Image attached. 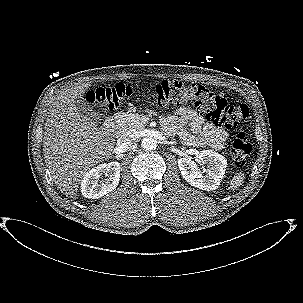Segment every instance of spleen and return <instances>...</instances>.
Masks as SVG:
<instances>
[{
	"instance_id": "3e777b00",
	"label": "spleen",
	"mask_w": 303,
	"mask_h": 303,
	"mask_svg": "<svg viewBox=\"0 0 303 303\" xmlns=\"http://www.w3.org/2000/svg\"><path fill=\"white\" fill-rule=\"evenodd\" d=\"M244 178H245V175L242 172L234 175V177L230 181V188L235 189V188L241 186L242 183L244 182Z\"/></svg>"
}]
</instances>
